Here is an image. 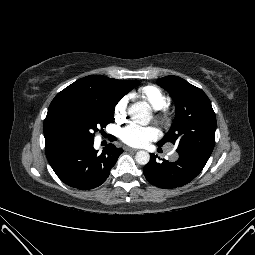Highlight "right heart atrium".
<instances>
[{
	"label": "right heart atrium",
	"mask_w": 255,
	"mask_h": 255,
	"mask_svg": "<svg viewBox=\"0 0 255 255\" xmlns=\"http://www.w3.org/2000/svg\"><path fill=\"white\" fill-rule=\"evenodd\" d=\"M126 104V98H122L116 103L114 107V116L116 119L120 120L124 117L126 111Z\"/></svg>",
	"instance_id": "right-heart-atrium-1"
}]
</instances>
